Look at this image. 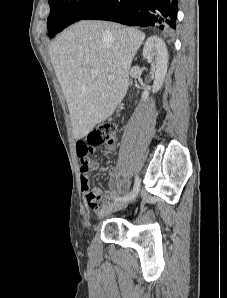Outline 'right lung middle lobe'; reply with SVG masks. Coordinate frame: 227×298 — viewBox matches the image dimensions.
Returning a JSON list of instances; mask_svg holds the SVG:
<instances>
[{
	"instance_id": "right-lung-middle-lobe-1",
	"label": "right lung middle lobe",
	"mask_w": 227,
	"mask_h": 298,
	"mask_svg": "<svg viewBox=\"0 0 227 298\" xmlns=\"http://www.w3.org/2000/svg\"><path fill=\"white\" fill-rule=\"evenodd\" d=\"M50 15L47 20L49 37L75 23L101 5L104 0H48Z\"/></svg>"
}]
</instances>
